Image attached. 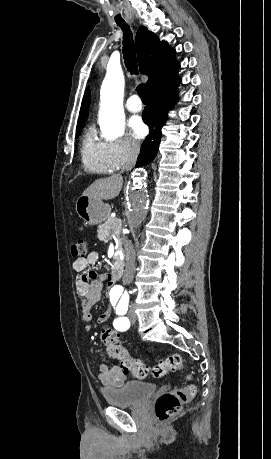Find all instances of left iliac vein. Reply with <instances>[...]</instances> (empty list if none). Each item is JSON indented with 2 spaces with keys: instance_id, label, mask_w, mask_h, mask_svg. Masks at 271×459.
Wrapping results in <instances>:
<instances>
[{
  "instance_id": "obj_1",
  "label": "left iliac vein",
  "mask_w": 271,
  "mask_h": 459,
  "mask_svg": "<svg viewBox=\"0 0 271 459\" xmlns=\"http://www.w3.org/2000/svg\"><path fill=\"white\" fill-rule=\"evenodd\" d=\"M128 318H129V320H130L131 323H134L135 320H136V319H135L134 312H133L132 309H130L129 312H128Z\"/></svg>"
}]
</instances>
